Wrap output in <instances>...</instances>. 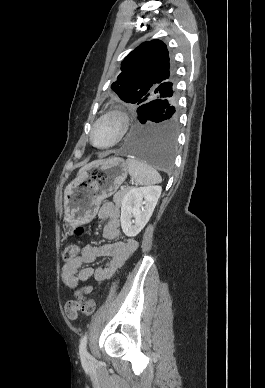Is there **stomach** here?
I'll return each mask as SVG.
<instances>
[{
  "mask_svg": "<svg viewBox=\"0 0 265 388\" xmlns=\"http://www.w3.org/2000/svg\"><path fill=\"white\" fill-rule=\"evenodd\" d=\"M128 174L126 162L110 157L78 173L64 191V220L67 226L90 222L101 202L113 195Z\"/></svg>",
  "mask_w": 265,
  "mask_h": 388,
  "instance_id": "1",
  "label": "stomach"
}]
</instances>
